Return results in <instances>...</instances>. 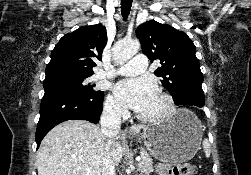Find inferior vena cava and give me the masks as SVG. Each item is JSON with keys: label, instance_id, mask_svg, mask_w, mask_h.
<instances>
[{"label": "inferior vena cava", "instance_id": "inferior-vena-cava-1", "mask_svg": "<svg viewBox=\"0 0 251 175\" xmlns=\"http://www.w3.org/2000/svg\"><path fill=\"white\" fill-rule=\"evenodd\" d=\"M121 115L122 109L118 107V105H108V107H104L101 117V131L104 135H115V133H119L120 125H121ZM112 143V139H108L106 143L107 149H110V145ZM106 165H104L102 169V175H115V165H112L111 159L109 157H105L104 159Z\"/></svg>", "mask_w": 251, "mask_h": 175}]
</instances>
